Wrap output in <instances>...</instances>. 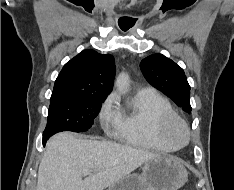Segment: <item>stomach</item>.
Listing matches in <instances>:
<instances>
[{
    "label": "stomach",
    "mask_w": 234,
    "mask_h": 190,
    "mask_svg": "<svg viewBox=\"0 0 234 190\" xmlns=\"http://www.w3.org/2000/svg\"><path fill=\"white\" fill-rule=\"evenodd\" d=\"M188 180V172L172 156H158L144 163L142 173H130L108 190H178Z\"/></svg>",
    "instance_id": "0dacf381"
}]
</instances>
